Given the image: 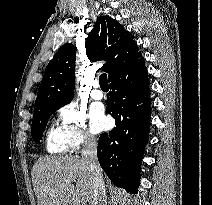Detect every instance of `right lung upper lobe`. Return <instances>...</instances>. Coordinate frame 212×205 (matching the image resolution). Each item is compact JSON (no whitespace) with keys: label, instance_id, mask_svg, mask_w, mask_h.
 <instances>
[{"label":"right lung upper lobe","instance_id":"cb5924a9","mask_svg":"<svg viewBox=\"0 0 212 205\" xmlns=\"http://www.w3.org/2000/svg\"><path fill=\"white\" fill-rule=\"evenodd\" d=\"M85 48L91 61H106L102 70L109 74V78L141 56L134 36L109 16L97 19L86 38ZM75 59L73 44H65L55 53L44 72L34 109L70 103L74 95Z\"/></svg>","mask_w":212,"mask_h":205}]
</instances>
